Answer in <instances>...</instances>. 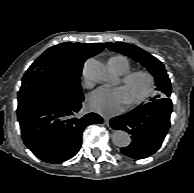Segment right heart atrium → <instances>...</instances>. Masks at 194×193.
I'll return each instance as SVG.
<instances>
[{
    "mask_svg": "<svg viewBox=\"0 0 194 193\" xmlns=\"http://www.w3.org/2000/svg\"><path fill=\"white\" fill-rule=\"evenodd\" d=\"M85 83H86L87 86L91 85V82L88 79L85 80Z\"/></svg>",
    "mask_w": 194,
    "mask_h": 193,
    "instance_id": "d8ad5b80",
    "label": "right heart atrium"
}]
</instances>
